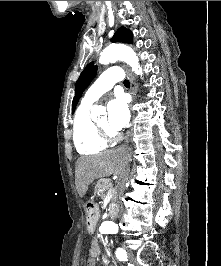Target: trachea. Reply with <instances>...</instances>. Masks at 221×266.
Here are the masks:
<instances>
[{"mask_svg":"<svg viewBox=\"0 0 221 266\" xmlns=\"http://www.w3.org/2000/svg\"><path fill=\"white\" fill-rule=\"evenodd\" d=\"M124 85H125L126 87H130V82H129L127 79H125V80H124Z\"/></svg>","mask_w":221,"mask_h":266,"instance_id":"1","label":"trachea"}]
</instances>
